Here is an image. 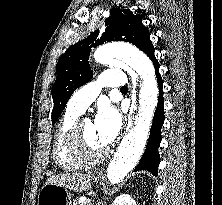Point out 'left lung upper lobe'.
Wrapping results in <instances>:
<instances>
[{
  "mask_svg": "<svg viewBox=\"0 0 222 205\" xmlns=\"http://www.w3.org/2000/svg\"><path fill=\"white\" fill-rule=\"evenodd\" d=\"M105 22V29L96 30L85 40L72 45L59 59L57 78L52 87V123L58 119L72 93L92 78L88 63L92 47L104 42L126 41L140 49L150 36L148 28L142 24V17L129 9H112Z\"/></svg>",
  "mask_w": 222,
  "mask_h": 205,
  "instance_id": "1",
  "label": "left lung upper lobe"
}]
</instances>
